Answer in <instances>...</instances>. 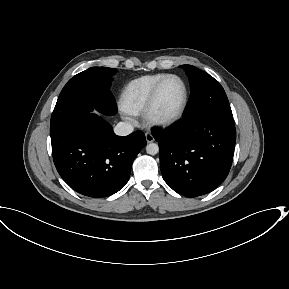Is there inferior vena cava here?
Instances as JSON below:
<instances>
[{"label": "inferior vena cava", "mask_w": 289, "mask_h": 289, "mask_svg": "<svg viewBox=\"0 0 289 289\" xmlns=\"http://www.w3.org/2000/svg\"><path fill=\"white\" fill-rule=\"evenodd\" d=\"M133 130V125L128 122H119L114 128V132L118 136H127L132 133Z\"/></svg>", "instance_id": "obj_1"}]
</instances>
